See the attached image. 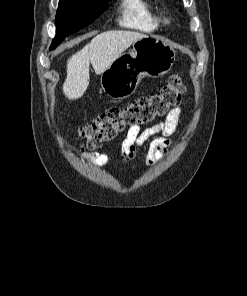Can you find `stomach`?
I'll return each mask as SVG.
<instances>
[{
	"instance_id": "0dacf381",
	"label": "stomach",
	"mask_w": 247,
	"mask_h": 296,
	"mask_svg": "<svg viewBox=\"0 0 247 296\" xmlns=\"http://www.w3.org/2000/svg\"><path fill=\"white\" fill-rule=\"evenodd\" d=\"M176 51L165 41L147 36L133 43L101 75L104 92L113 99L132 95L143 77H160L174 64Z\"/></svg>"
}]
</instances>
